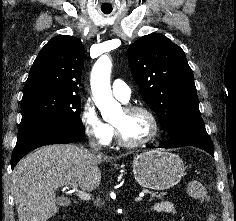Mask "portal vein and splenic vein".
Here are the masks:
<instances>
[{
  "label": "portal vein and splenic vein",
  "mask_w": 236,
  "mask_h": 221,
  "mask_svg": "<svg viewBox=\"0 0 236 221\" xmlns=\"http://www.w3.org/2000/svg\"><path fill=\"white\" fill-rule=\"evenodd\" d=\"M71 188L72 190L76 193V195L81 199V200H85V201H89L91 200V195L83 190H79L77 188V184L76 183H72L71 184ZM142 200L141 197H136L134 199L135 202H140Z\"/></svg>",
  "instance_id": "portal-vein-and-splenic-vein-1"
}]
</instances>
